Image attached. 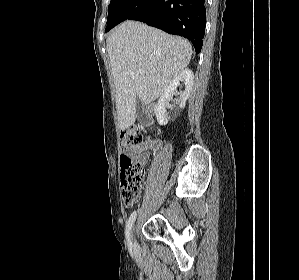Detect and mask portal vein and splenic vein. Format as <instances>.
I'll list each match as a JSON object with an SVG mask.
<instances>
[{
  "instance_id": "obj_1",
  "label": "portal vein and splenic vein",
  "mask_w": 299,
  "mask_h": 280,
  "mask_svg": "<svg viewBox=\"0 0 299 280\" xmlns=\"http://www.w3.org/2000/svg\"><path fill=\"white\" fill-rule=\"evenodd\" d=\"M139 73H140L141 75H144V74H145V71H144L143 69H140V70H139Z\"/></svg>"
}]
</instances>
